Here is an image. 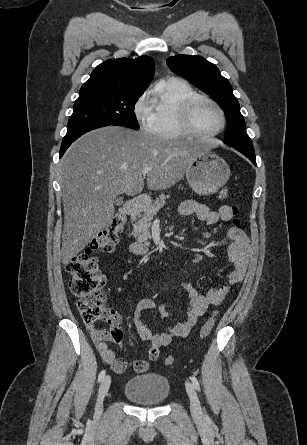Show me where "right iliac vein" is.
I'll return each mask as SVG.
<instances>
[{"instance_id":"1","label":"right iliac vein","mask_w":307,"mask_h":445,"mask_svg":"<svg viewBox=\"0 0 307 445\" xmlns=\"http://www.w3.org/2000/svg\"><path fill=\"white\" fill-rule=\"evenodd\" d=\"M110 384H111L110 376H106L100 384L97 403H96V416L97 417H99L102 414L103 400H104L105 396L107 395V392L110 388Z\"/></svg>"}]
</instances>
